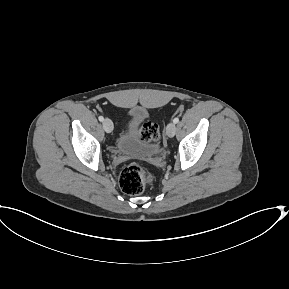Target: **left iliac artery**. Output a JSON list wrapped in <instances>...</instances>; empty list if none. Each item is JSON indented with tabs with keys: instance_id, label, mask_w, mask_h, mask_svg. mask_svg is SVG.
I'll return each instance as SVG.
<instances>
[{
	"instance_id": "left-iliac-artery-1",
	"label": "left iliac artery",
	"mask_w": 289,
	"mask_h": 289,
	"mask_svg": "<svg viewBox=\"0 0 289 289\" xmlns=\"http://www.w3.org/2000/svg\"><path fill=\"white\" fill-rule=\"evenodd\" d=\"M173 122H174L175 124L178 123V122H179V118H178V117L174 118V119H173Z\"/></svg>"
}]
</instances>
